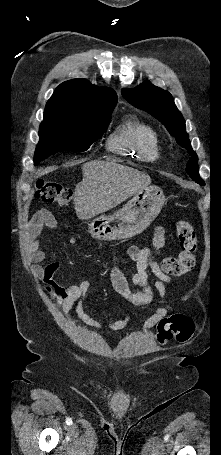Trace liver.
I'll list each match as a JSON object with an SVG mask.
<instances>
[{
  "instance_id": "6515ba94",
  "label": "liver",
  "mask_w": 221,
  "mask_h": 455,
  "mask_svg": "<svg viewBox=\"0 0 221 455\" xmlns=\"http://www.w3.org/2000/svg\"><path fill=\"white\" fill-rule=\"evenodd\" d=\"M82 174L74 191L76 214L82 220L118 206L151 183L149 175L115 161H89Z\"/></svg>"
}]
</instances>
